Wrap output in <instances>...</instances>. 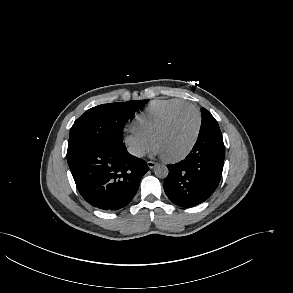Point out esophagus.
Segmentation results:
<instances>
[{"label":"esophagus","mask_w":293,"mask_h":293,"mask_svg":"<svg viewBox=\"0 0 293 293\" xmlns=\"http://www.w3.org/2000/svg\"><path fill=\"white\" fill-rule=\"evenodd\" d=\"M147 165H148V167H149L150 169H153V168L157 165V163H155V162H153V161H148V162H147Z\"/></svg>","instance_id":"esophagus-1"}]
</instances>
